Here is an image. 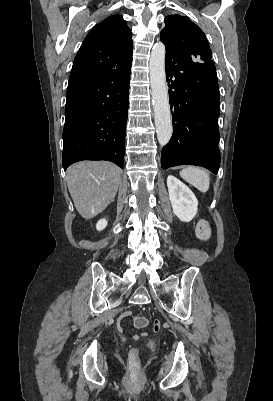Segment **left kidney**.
Here are the masks:
<instances>
[{
	"label": "left kidney",
	"mask_w": 273,
	"mask_h": 401,
	"mask_svg": "<svg viewBox=\"0 0 273 401\" xmlns=\"http://www.w3.org/2000/svg\"><path fill=\"white\" fill-rule=\"evenodd\" d=\"M167 186L174 215L180 221L189 223L198 211V201L194 192L172 174L167 178Z\"/></svg>",
	"instance_id": "left-kidney-1"
}]
</instances>
